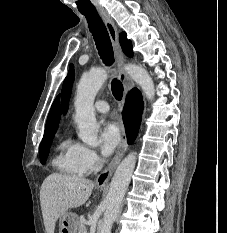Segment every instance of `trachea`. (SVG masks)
I'll return each mask as SVG.
<instances>
[{"mask_svg":"<svg viewBox=\"0 0 227 233\" xmlns=\"http://www.w3.org/2000/svg\"><path fill=\"white\" fill-rule=\"evenodd\" d=\"M81 13L86 17L88 21L90 32L93 35L98 53L100 55V58L103 60V63L107 66L113 65L114 63L113 48H112V44H111L108 31L101 17L97 13V11H87V12H81ZM111 90H112L113 96L117 100L122 99L123 85L119 80L115 78L112 80Z\"/></svg>","mask_w":227,"mask_h":233,"instance_id":"trachea-1","label":"trachea"}]
</instances>
